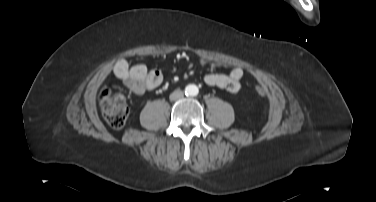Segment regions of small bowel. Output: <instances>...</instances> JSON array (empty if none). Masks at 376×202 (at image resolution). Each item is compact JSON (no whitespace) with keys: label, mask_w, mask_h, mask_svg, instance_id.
<instances>
[{"label":"small bowel","mask_w":376,"mask_h":202,"mask_svg":"<svg viewBox=\"0 0 376 202\" xmlns=\"http://www.w3.org/2000/svg\"><path fill=\"white\" fill-rule=\"evenodd\" d=\"M213 61L208 58L201 59L203 65ZM219 64L230 66V63L221 61ZM113 73L122 85L134 95H142L146 91L156 89L163 81L160 69H149L145 64L130 65L125 59L118 60L113 68ZM243 69L232 66L229 73H208L204 76V82L209 86L237 92L241 89Z\"/></svg>","instance_id":"obj_1"}]
</instances>
